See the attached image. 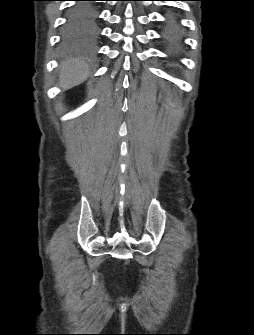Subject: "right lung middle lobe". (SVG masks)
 Segmentation results:
<instances>
[{"instance_id":"1","label":"right lung middle lobe","mask_w":254,"mask_h":335,"mask_svg":"<svg viewBox=\"0 0 254 335\" xmlns=\"http://www.w3.org/2000/svg\"><path fill=\"white\" fill-rule=\"evenodd\" d=\"M87 3H88V4H86L87 6H90L91 8H95V6L92 2H87ZM71 10H70V13H73V14L76 11V10H73V11H71ZM96 32H97L96 24L89 29H85L84 26L82 25V22L77 23V24H73V25H67V23H66L65 28H64V38L65 39H74V38H77V37H80V36L94 35Z\"/></svg>"}]
</instances>
